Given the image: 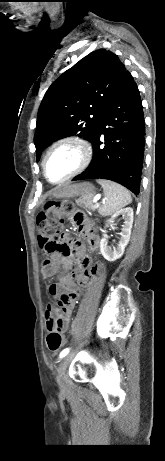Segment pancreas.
<instances>
[{
  "mask_svg": "<svg viewBox=\"0 0 165 461\" xmlns=\"http://www.w3.org/2000/svg\"><path fill=\"white\" fill-rule=\"evenodd\" d=\"M77 205L82 206L84 208L95 210L98 207L93 203V197H82L76 201Z\"/></svg>",
  "mask_w": 165,
  "mask_h": 461,
  "instance_id": "obj_1",
  "label": "pancreas"
}]
</instances>
